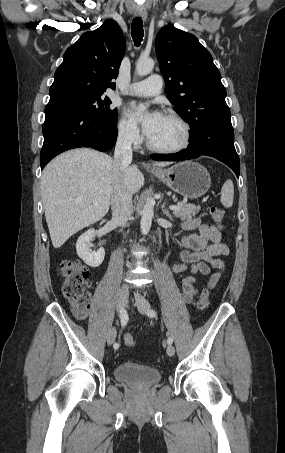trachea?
<instances>
[{
	"label": "trachea",
	"instance_id": "trachea-1",
	"mask_svg": "<svg viewBox=\"0 0 285 453\" xmlns=\"http://www.w3.org/2000/svg\"><path fill=\"white\" fill-rule=\"evenodd\" d=\"M131 35L135 45L139 46L144 36L143 22L140 17H136L133 19L131 24Z\"/></svg>",
	"mask_w": 285,
	"mask_h": 453
}]
</instances>
